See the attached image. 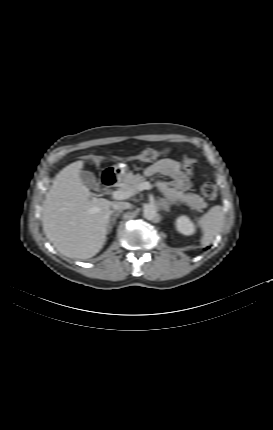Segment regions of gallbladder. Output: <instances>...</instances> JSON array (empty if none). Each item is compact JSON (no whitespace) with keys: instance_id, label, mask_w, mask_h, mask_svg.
<instances>
[{"instance_id":"bac80fb5","label":"gallbladder","mask_w":273,"mask_h":430,"mask_svg":"<svg viewBox=\"0 0 273 430\" xmlns=\"http://www.w3.org/2000/svg\"><path fill=\"white\" fill-rule=\"evenodd\" d=\"M80 177L82 179V182L84 185H86L88 188L99 190L100 184L96 180L95 175L92 172L89 171H82L80 173Z\"/></svg>"}]
</instances>
